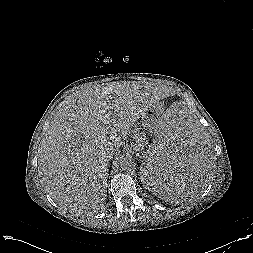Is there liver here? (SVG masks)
<instances>
[{"label":"liver","instance_id":"liver-1","mask_svg":"<svg viewBox=\"0 0 253 253\" xmlns=\"http://www.w3.org/2000/svg\"><path fill=\"white\" fill-rule=\"evenodd\" d=\"M162 86L122 82L88 87L59 109L40 144L39 174L60 206L96 212L106 201L109 151L161 98Z\"/></svg>","mask_w":253,"mask_h":253}]
</instances>
